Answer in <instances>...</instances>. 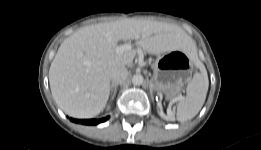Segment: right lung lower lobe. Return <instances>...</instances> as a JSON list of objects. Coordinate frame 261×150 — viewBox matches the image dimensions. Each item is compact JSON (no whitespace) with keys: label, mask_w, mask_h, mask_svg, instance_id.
<instances>
[{"label":"right lung lower lobe","mask_w":261,"mask_h":150,"mask_svg":"<svg viewBox=\"0 0 261 150\" xmlns=\"http://www.w3.org/2000/svg\"><path fill=\"white\" fill-rule=\"evenodd\" d=\"M108 118H109V116L99 119V120H97V119L77 120V119H72V118L70 120L75 123H81V124H85V125H97L99 123L105 122Z\"/></svg>","instance_id":"98d812e1"}]
</instances>
